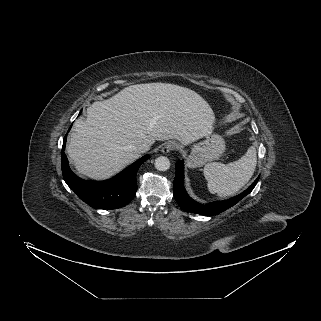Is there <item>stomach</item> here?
I'll use <instances>...</instances> for the list:
<instances>
[{
  "label": "stomach",
  "mask_w": 321,
  "mask_h": 321,
  "mask_svg": "<svg viewBox=\"0 0 321 321\" xmlns=\"http://www.w3.org/2000/svg\"><path fill=\"white\" fill-rule=\"evenodd\" d=\"M225 152V141L220 135L209 134L205 139L191 147L188 166L200 167L205 163L218 159Z\"/></svg>",
  "instance_id": "obj_1"
}]
</instances>
